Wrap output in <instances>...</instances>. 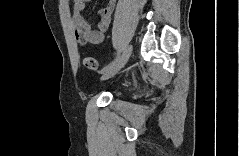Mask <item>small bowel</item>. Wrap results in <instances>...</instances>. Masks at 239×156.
Returning <instances> with one entry per match:
<instances>
[{
	"mask_svg": "<svg viewBox=\"0 0 239 156\" xmlns=\"http://www.w3.org/2000/svg\"><path fill=\"white\" fill-rule=\"evenodd\" d=\"M87 5V0H74L72 4L73 14L71 24L75 41L79 45L100 44L104 40L108 30L111 14L115 7V1L109 0L105 6L99 10V22L96 29H92L90 24L83 17V11Z\"/></svg>",
	"mask_w": 239,
	"mask_h": 156,
	"instance_id": "c3829d8e",
	"label": "small bowel"
}]
</instances>
